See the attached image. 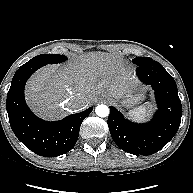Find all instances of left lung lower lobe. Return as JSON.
<instances>
[{"label": "left lung lower lobe", "instance_id": "left-lung-lower-lobe-1", "mask_svg": "<svg viewBox=\"0 0 193 193\" xmlns=\"http://www.w3.org/2000/svg\"><path fill=\"white\" fill-rule=\"evenodd\" d=\"M139 79L155 91L158 110L144 124L128 121L110 107L108 126L117 146L134 155H151L162 149L176 134L182 116V106L173 77L157 61L137 69Z\"/></svg>", "mask_w": 193, "mask_h": 193}]
</instances>
